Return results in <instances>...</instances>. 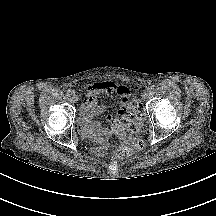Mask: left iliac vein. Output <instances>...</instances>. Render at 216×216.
<instances>
[{
    "mask_svg": "<svg viewBox=\"0 0 216 216\" xmlns=\"http://www.w3.org/2000/svg\"><path fill=\"white\" fill-rule=\"evenodd\" d=\"M149 96V92L147 90H145L143 93H142V98L143 99H147Z\"/></svg>",
    "mask_w": 216,
    "mask_h": 216,
    "instance_id": "1",
    "label": "left iliac vein"
}]
</instances>
